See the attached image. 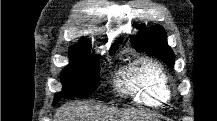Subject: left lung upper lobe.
<instances>
[{
	"instance_id": "5c2ea615",
	"label": "left lung upper lobe",
	"mask_w": 217,
	"mask_h": 121,
	"mask_svg": "<svg viewBox=\"0 0 217 121\" xmlns=\"http://www.w3.org/2000/svg\"><path fill=\"white\" fill-rule=\"evenodd\" d=\"M131 42L137 50L147 51L173 68L175 55L167 44L166 33L161 26H152L142 34L132 36Z\"/></svg>"
}]
</instances>
